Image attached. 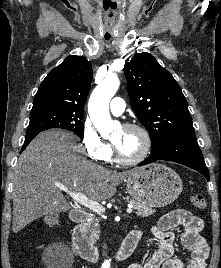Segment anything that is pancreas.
Here are the masks:
<instances>
[{
  "mask_svg": "<svg viewBox=\"0 0 221 268\" xmlns=\"http://www.w3.org/2000/svg\"><path fill=\"white\" fill-rule=\"evenodd\" d=\"M130 204H132L133 208L136 210L137 216L147 217L155 212V210L151 207H147L146 205L135 200H130ZM84 229L91 241L95 242L99 238L100 234L99 219L90 217L89 221L84 224Z\"/></svg>",
  "mask_w": 221,
  "mask_h": 268,
  "instance_id": "1",
  "label": "pancreas"
}]
</instances>
